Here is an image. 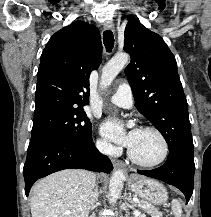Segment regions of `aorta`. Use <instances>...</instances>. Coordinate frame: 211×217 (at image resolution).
<instances>
[{"label": "aorta", "mask_w": 211, "mask_h": 217, "mask_svg": "<svg viewBox=\"0 0 211 217\" xmlns=\"http://www.w3.org/2000/svg\"><path fill=\"white\" fill-rule=\"evenodd\" d=\"M130 57L126 53H121L113 57L102 69L100 86L105 89L109 86L119 72L129 63ZM125 179L122 170H115L109 184L110 204H115L121 195L123 181Z\"/></svg>", "instance_id": "obj_1"}]
</instances>
